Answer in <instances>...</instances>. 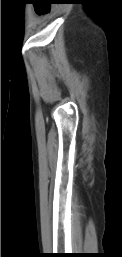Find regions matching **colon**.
I'll list each match as a JSON object with an SVG mask.
<instances>
[{
  "mask_svg": "<svg viewBox=\"0 0 122 257\" xmlns=\"http://www.w3.org/2000/svg\"><path fill=\"white\" fill-rule=\"evenodd\" d=\"M35 10H52V5H35Z\"/></svg>",
  "mask_w": 122,
  "mask_h": 257,
  "instance_id": "obj_1",
  "label": "colon"
}]
</instances>
